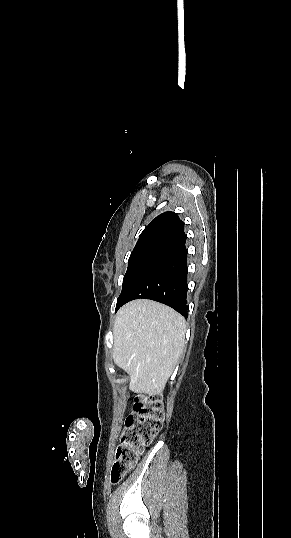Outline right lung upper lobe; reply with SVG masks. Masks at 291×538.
Returning <instances> with one entry per match:
<instances>
[{"instance_id": "obj_1", "label": "right lung upper lobe", "mask_w": 291, "mask_h": 538, "mask_svg": "<svg viewBox=\"0 0 291 538\" xmlns=\"http://www.w3.org/2000/svg\"><path fill=\"white\" fill-rule=\"evenodd\" d=\"M184 223L174 212L167 211L146 226L133 249L167 248L174 250L185 244Z\"/></svg>"}]
</instances>
